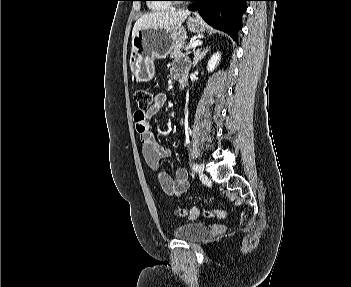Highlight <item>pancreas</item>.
Returning <instances> with one entry per match:
<instances>
[{"label": "pancreas", "mask_w": 351, "mask_h": 287, "mask_svg": "<svg viewBox=\"0 0 351 287\" xmlns=\"http://www.w3.org/2000/svg\"><path fill=\"white\" fill-rule=\"evenodd\" d=\"M185 47H186V43L184 41H180V42L174 44L172 51H171V54H170V57L172 59H180L182 57H185L186 55L189 54L188 51H186V53L182 52V49H184Z\"/></svg>", "instance_id": "pancreas-1"}]
</instances>
